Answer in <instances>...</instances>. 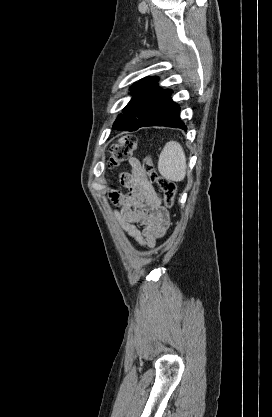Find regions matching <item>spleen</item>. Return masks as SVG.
<instances>
[{
    "label": "spleen",
    "instance_id": "3e777b00",
    "mask_svg": "<svg viewBox=\"0 0 272 417\" xmlns=\"http://www.w3.org/2000/svg\"><path fill=\"white\" fill-rule=\"evenodd\" d=\"M158 170L167 180L180 182L186 175V157L180 143L169 141L159 156Z\"/></svg>",
    "mask_w": 272,
    "mask_h": 417
}]
</instances>
